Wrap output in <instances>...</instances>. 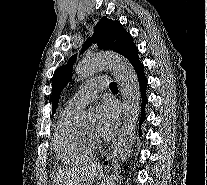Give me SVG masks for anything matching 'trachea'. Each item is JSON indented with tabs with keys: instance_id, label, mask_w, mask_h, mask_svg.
<instances>
[{
	"instance_id": "3493384b",
	"label": "trachea",
	"mask_w": 207,
	"mask_h": 185,
	"mask_svg": "<svg viewBox=\"0 0 207 185\" xmlns=\"http://www.w3.org/2000/svg\"><path fill=\"white\" fill-rule=\"evenodd\" d=\"M110 89L111 90H118V87H117V83L116 82H111L110 85H109Z\"/></svg>"
}]
</instances>
